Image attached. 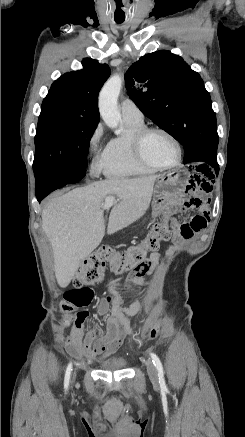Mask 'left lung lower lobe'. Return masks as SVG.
<instances>
[{
  "mask_svg": "<svg viewBox=\"0 0 245 437\" xmlns=\"http://www.w3.org/2000/svg\"><path fill=\"white\" fill-rule=\"evenodd\" d=\"M212 167H214L217 170L218 169V163L217 162L213 163Z\"/></svg>",
  "mask_w": 245,
  "mask_h": 437,
  "instance_id": "left-lung-lower-lobe-1",
  "label": "left lung lower lobe"
}]
</instances>
